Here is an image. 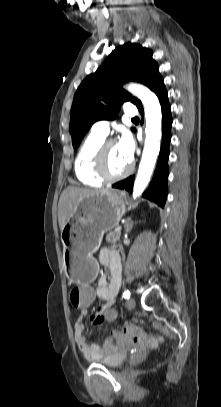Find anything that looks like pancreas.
<instances>
[{
    "mask_svg": "<svg viewBox=\"0 0 221 407\" xmlns=\"http://www.w3.org/2000/svg\"><path fill=\"white\" fill-rule=\"evenodd\" d=\"M120 235L121 233L119 231H113L107 234L106 236V242L110 244H115L117 241L120 240Z\"/></svg>",
    "mask_w": 221,
    "mask_h": 407,
    "instance_id": "obj_1",
    "label": "pancreas"
}]
</instances>
